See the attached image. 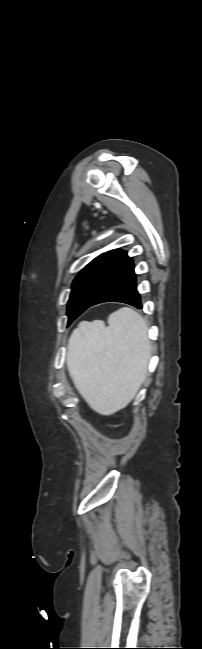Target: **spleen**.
Here are the masks:
<instances>
[{"mask_svg": "<svg viewBox=\"0 0 202 649\" xmlns=\"http://www.w3.org/2000/svg\"><path fill=\"white\" fill-rule=\"evenodd\" d=\"M103 322H82L68 341L67 368L92 409L110 415L136 395L147 374L151 345L147 324L123 307Z\"/></svg>", "mask_w": 202, "mask_h": 649, "instance_id": "obj_1", "label": "spleen"}]
</instances>
